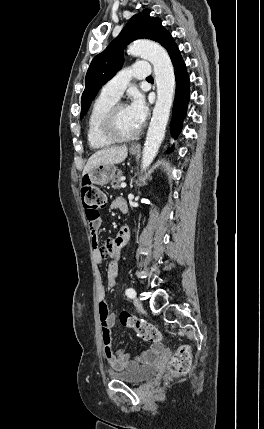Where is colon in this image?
<instances>
[{
    "instance_id": "colon-1",
    "label": "colon",
    "mask_w": 264,
    "mask_h": 429,
    "mask_svg": "<svg viewBox=\"0 0 264 429\" xmlns=\"http://www.w3.org/2000/svg\"><path fill=\"white\" fill-rule=\"evenodd\" d=\"M82 204L89 222H95L100 217L101 210L106 205L104 193L90 182L81 185ZM120 323L127 328L134 329L137 335L145 341L160 343L163 339L161 332L152 324L138 319L133 314L123 311L120 313ZM191 365V349L181 346L170 358L168 373L170 377L185 375Z\"/></svg>"
}]
</instances>
